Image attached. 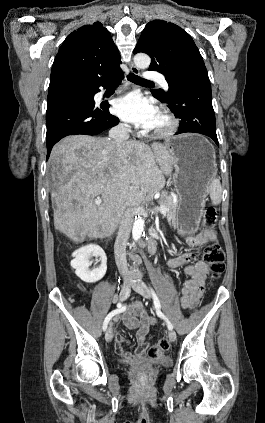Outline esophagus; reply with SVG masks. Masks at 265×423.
I'll return each mask as SVG.
<instances>
[{
    "label": "esophagus",
    "instance_id": "34e87169",
    "mask_svg": "<svg viewBox=\"0 0 265 423\" xmlns=\"http://www.w3.org/2000/svg\"><path fill=\"white\" fill-rule=\"evenodd\" d=\"M129 67H130V71L132 72V73H134V74H139L140 73V71H139V69L133 64V63H131L130 65H129Z\"/></svg>",
    "mask_w": 265,
    "mask_h": 423
}]
</instances>
